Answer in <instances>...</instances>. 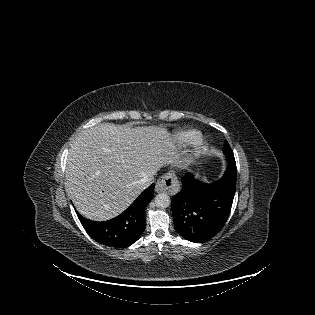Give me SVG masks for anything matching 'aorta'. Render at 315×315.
I'll list each match as a JSON object with an SVG mask.
<instances>
[{
	"mask_svg": "<svg viewBox=\"0 0 315 315\" xmlns=\"http://www.w3.org/2000/svg\"><path fill=\"white\" fill-rule=\"evenodd\" d=\"M170 203H171V199L169 195L166 193H159L155 197V205L158 208H161V209L167 208L169 207Z\"/></svg>",
	"mask_w": 315,
	"mask_h": 315,
	"instance_id": "obj_1",
	"label": "aorta"
}]
</instances>
